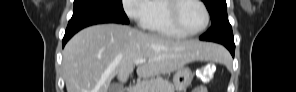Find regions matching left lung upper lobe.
I'll list each match as a JSON object with an SVG mask.
<instances>
[{
    "label": "left lung upper lobe",
    "instance_id": "left-lung-upper-lobe-1",
    "mask_svg": "<svg viewBox=\"0 0 296 92\" xmlns=\"http://www.w3.org/2000/svg\"><path fill=\"white\" fill-rule=\"evenodd\" d=\"M211 16V27L202 35L206 41L234 43L232 27L228 21L226 0H202Z\"/></svg>",
    "mask_w": 296,
    "mask_h": 92
}]
</instances>
